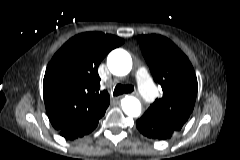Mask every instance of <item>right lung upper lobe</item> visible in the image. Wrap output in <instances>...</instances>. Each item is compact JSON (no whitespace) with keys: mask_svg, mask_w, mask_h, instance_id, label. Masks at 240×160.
Segmentation results:
<instances>
[{"mask_svg":"<svg viewBox=\"0 0 240 160\" xmlns=\"http://www.w3.org/2000/svg\"><path fill=\"white\" fill-rule=\"evenodd\" d=\"M123 43V39L113 35L86 32L72 37L55 53L45 72L43 95L56 130L109 105V94L98 92V66Z\"/></svg>","mask_w":240,"mask_h":160,"instance_id":"right-lung-upper-lobe-1","label":"right lung upper lobe"}]
</instances>
